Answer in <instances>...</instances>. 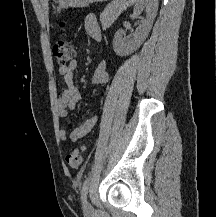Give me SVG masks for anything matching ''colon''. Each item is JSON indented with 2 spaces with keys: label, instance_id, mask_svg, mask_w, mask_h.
Masks as SVG:
<instances>
[{
  "label": "colon",
  "instance_id": "obj_1",
  "mask_svg": "<svg viewBox=\"0 0 216 217\" xmlns=\"http://www.w3.org/2000/svg\"><path fill=\"white\" fill-rule=\"evenodd\" d=\"M64 26V23H61ZM74 46L66 39L62 38L58 40L53 46V56L60 66L69 64L74 57ZM84 147L80 146L72 150L66 156V163L72 169H78L82 162V152Z\"/></svg>",
  "mask_w": 216,
  "mask_h": 217
}]
</instances>
